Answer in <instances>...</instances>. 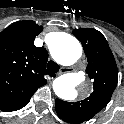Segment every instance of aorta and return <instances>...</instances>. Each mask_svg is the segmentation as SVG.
I'll use <instances>...</instances> for the list:
<instances>
[{
	"mask_svg": "<svg viewBox=\"0 0 124 124\" xmlns=\"http://www.w3.org/2000/svg\"><path fill=\"white\" fill-rule=\"evenodd\" d=\"M53 58L62 65H72L82 56V47L79 41L68 33H58L51 45ZM84 80V74L68 73L57 77L52 84L55 94L63 100H74L77 95V86Z\"/></svg>",
	"mask_w": 124,
	"mask_h": 124,
	"instance_id": "762f6f07",
	"label": "aorta"
}]
</instances>
